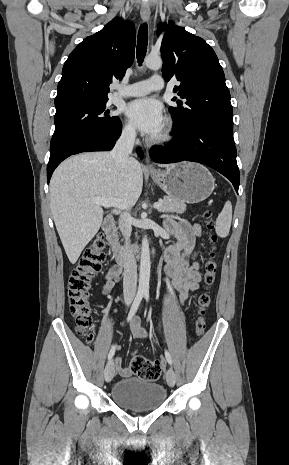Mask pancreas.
I'll list each match as a JSON object with an SVG mask.
<instances>
[{
    "label": "pancreas",
    "instance_id": "cf45deb5",
    "mask_svg": "<svg viewBox=\"0 0 289 465\" xmlns=\"http://www.w3.org/2000/svg\"><path fill=\"white\" fill-rule=\"evenodd\" d=\"M158 210L160 212L183 213L186 210V205L175 198L165 196L161 201V207Z\"/></svg>",
    "mask_w": 289,
    "mask_h": 465
}]
</instances>
